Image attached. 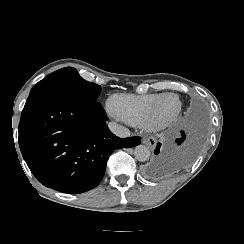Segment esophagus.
Instances as JSON below:
<instances>
[{"mask_svg":"<svg viewBox=\"0 0 244 244\" xmlns=\"http://www.w3.org/2000/svg\"><path fill=\"white\" fill-rule=\"evenodd\" d=\"M141 142L150 149H153L156 146V138L153 136L144 137Z\"/></svg>","mask_w":244,"mask_h":244,"instance_id":"obj_1","label":"esophagus"}]
</instances>
